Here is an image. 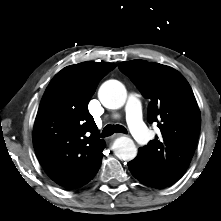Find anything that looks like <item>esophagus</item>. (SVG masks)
I'll return each mask as SVG.
<instances>
[{
    "label": "esophagus",
    "instance_id": "34e87169",
    "mask_svg": "<svg viewBox=\"0 0 221 221\" xmlns=\"http://www.w3.org/2000/svg\"><path fill=\"white\" fill-rule=\"evenodd\" d=\"M121 136H123V134H115L114 137H121Z\"/></svg>",
    "mask_w": 221,
    "mask_h": 221
}]
</instances>
